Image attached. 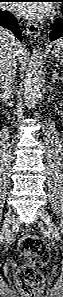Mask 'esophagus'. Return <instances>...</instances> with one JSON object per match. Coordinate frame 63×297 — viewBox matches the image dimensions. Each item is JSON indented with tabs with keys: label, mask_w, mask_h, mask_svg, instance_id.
<instances>
[{
	"label": "esophagus",
	"mask_w": 63,
	"mask_h": 297,
	"mask_svg": "<svg viewBox=\"0 0 63 297\" xmlns=\"http://www.w3.org/2000/svg\"><path fill=\"white\" fill-rule=\"evenodd\" d=\"M26 31H27V35H29L32 38H37L40 35V29L37 26V24L32 23V22H28L26 25Z\"/></svg>",
	"instance_id": "34e87169"
}]
</instances>
